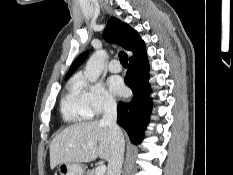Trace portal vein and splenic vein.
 <instances>
[{"label": "portal vein and splenic vein", "instance_id": "18ae733b", "mask_svg": "<svg viewBox=\"0 0 233 175\" xmlns=\"http://www.w3.org/2000/svg\"><path fill=\"white\" fill-rule=\"evenodd\" d=\"M95 172H96V175H104L106 172V166L104 164H100L96 168Z\"/></svg>", "mask_w": 233, "mask_h": 175}]
</instances>
